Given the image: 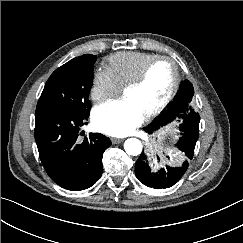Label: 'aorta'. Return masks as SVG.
<instances>
[{
	"mask_svg": "<svg viewBox=\"0 0 243 243\" xmlns=\"http://www.w3.org/2000/svg\"><path fill=\"white\" fill-rule=\"evenodd\" d=\"M124 149L128 155L137 156L142 152V143L136 138H129L124 143Z\"/></svg>",
	"mask_w": 243,
	"mask_h": 243,
	"instance_id": "762f6f07",
	"label": "aorta"
}]
</instances>
